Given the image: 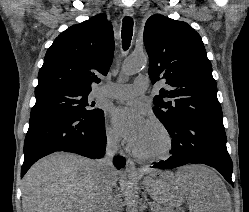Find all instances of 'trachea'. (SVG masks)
I'll use <instances>...</instances> for the list:
<instances>
[{
  "mask_svg": "<svg viewBox=\"0 0 249 212\" xmlns=\"http://www.w3.org/2000/svg\"><path fill=\"white\" fill-rule=\"evenodd\" d=\"M132 33H133V19L129 16L124 17L121 37H122V45L125 50L128 49L130 46Z\"/></svg>",
  "mask_w": 249,
  "mask_h": 212,
  "instance_id": "3493384b",
  "label": "trachea"
}]
</instances>
